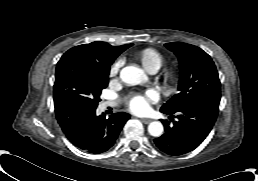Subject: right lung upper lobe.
<instances>
[{"mask_svg": "<svg viewBox=\"0 0 258 181\" xmlns=\"http://www.w3.org/2000/svg\"><path fill=\"white\" fill-rule=\"evenodd\" d=\"M129 47L128 45L111 46L106 42H92L90 44H83L71 48L66 53H78L86 59L96 63L103 68H110V65L124 50Z\"/></svg>", "mask_w": 258, "mask_h": 181, "instance_id": "obj_1", "label": "right lung upper lobe"}]
</instances>
